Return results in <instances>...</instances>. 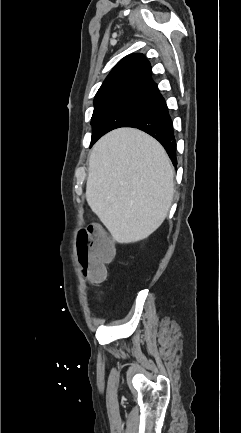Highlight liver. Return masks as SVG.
Listing matches in <instances>:
<instances>
[{"label": "liver", "instance_id": "6515ba94", "mask_svg": "<svg viewBox=\"0 0 241 433\" xmlns=\"http://www.w3.org/2000/svg\"><path fill=\"white\" fill-rule=\"evenodd\" d=\"M174 169L162 145L134 128L100 138L89 156L86 200L120 244L155 232L168 215Z\"/></svg>", "mask_w": 241, "mask_h": 433}]
</instances>
